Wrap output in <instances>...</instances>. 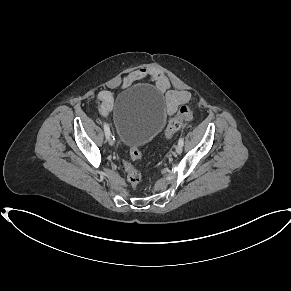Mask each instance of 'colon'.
Masks as SVG:
<instances>
[{
  "label": "colon",
  "mask_w": 291,
  "mask_h": 291,
  "mask_svg": "<svg viewBox=\"0 0 291 291\" xmlns=\"http://www.w3.org/2000/svg\"><path fill=\"white\" fill-rule=\"evenodd\" d=\"M193 119V113L191 109L187 105H182L176 115L171 119L167 128H166V138L171 139L174 134L183 126V124L187 121ZM130 156L133 160L139 161L142 158V153L138 148H130ZM124 168L127 172V180L129 184L135 188L140 182L141 175L139 171H137L134 166L130 163L129 160L124 159L123 161Z\"/></svg>",
  "instance_id": "5ec220e1"
}]
</instances>
